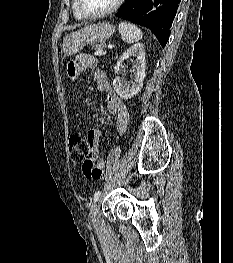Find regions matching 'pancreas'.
<instances>
[{"label": "pancreas", "instance_id": "1", "mask_svg": "<svg viewBox=\"0 0 233 263\" xmlns=\"http://www.w3.org/2000/svg\"><path fill=\"white\" fill-rule=\"evenodd\" d=\"M104 47H106V43L104 41L95 45V49H97V50H103Z\"/></svg>", "mask_w": 233, "mask_h": 263}]
</instances>
